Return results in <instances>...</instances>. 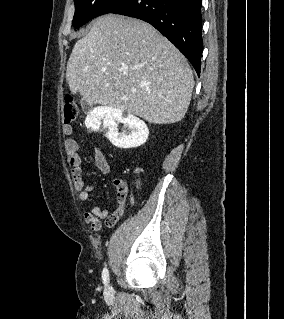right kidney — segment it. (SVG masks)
Masks as SVG:
<instances>
[{"instance_id": "right-kidney-1", "label": "right kidney", "mask_w": 284, "mask_h": 319, "mask_svg": "<svg viewBox=\"0 0 284 319\" xmlns=\"http://www.w3.org/2000/svg\"><path fill=\"white\" fill-rule=\"evenodd\" d=\"M107 128L106 137L118 148H135L143 145L148 138L147 125L132 114H125L122 109L107 106L96 107L87 115L85 126L91 131H96L101 126ZM117 123H122L127 130L120 133Z\"/></svg>"}]
</instances>
